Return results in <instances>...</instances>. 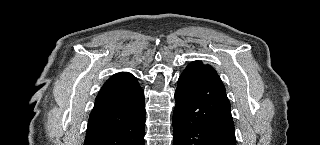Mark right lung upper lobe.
<instances>
[{"mask_svg": "<svg viewBox=\"0 0 320 145\" xmlns=\"http://www.w3.org/2000/svg\"><path fill=\"white\" fill-rule=\"evenodd\" d=\"M125 76H132V74L126 73V72H120V73L114 74L113 76H111V77L106 81L105 84H107L108 82H111V81H113V80H115V79H118V78H121V77H125ZM105 84H104V85H105ZM104 85H103V86H104ZM101 94H102V91L100 90L99 94H98L97 97H96L95 103H96L98 100L101 99V97H100Z\"/></svg>", "mask_w": 320, "mask_h": 145, "instance_id": "right-lung-upper-lobe-1", "label": "right lung upper lobe"}]
</instances>
